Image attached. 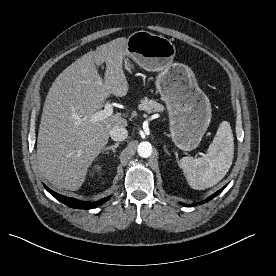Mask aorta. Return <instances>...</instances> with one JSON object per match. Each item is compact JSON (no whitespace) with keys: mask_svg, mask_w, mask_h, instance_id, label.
Wrapping results in <instances>:
<instances>
[{"mask_svg":"<svg viewBox=\"0 0 276 276\" xmlns=\"http://www.w3.org/2000/svg\"><path fill=\"white\" fill-rule=\"evenodd\" d=\"M137 152H138L140 157H143V158L150 157L151 154H152V145H151V143H149L147 141L141 142L138 145Z\"/></svg>","mask_w":276,"mask_h":276,"instance_id":"762f6f07","label":"aorta"}]
</instances>
